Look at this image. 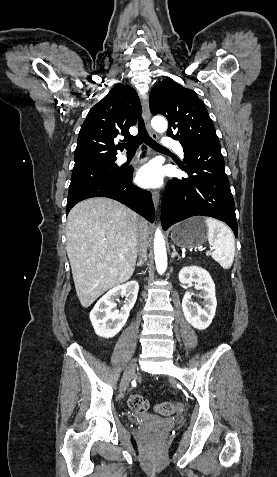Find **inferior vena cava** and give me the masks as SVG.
<instances>
[{
    "label": "inferior vena cava",
    "instance_id": "inferior-vena-cava-1",
    "mask_svg": "<svg viewBox=\"0 0 277 477\" xmlns=\"http://www.w3.org/2000/svg\"><path fill=\"white\" fill-rule=\"evenodd\" d=\"M147 239L148 233L144 226L141 224L139 227V244H138V252L140 260L139 262H144L147 258Z\"/></svg>",
    "mask_w": 277,
    "mask_h": 477
}]
</instances>
